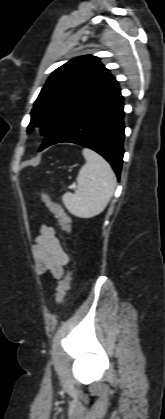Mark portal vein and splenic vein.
<instances>
[{
    "mask_svg": "<svg viewBox=\"0 0 165 419\" xmlns=\"http://www.w3.org/2000/svg\"><path fill=\"white\" fill-rule=\"evenodd\" d=\"M75 187H76V186H75V184H72V185H71V188H75Z\"/></svg>",
    "mask_w": 165,
    "mask_h": 419,
    "instance_id": "18ae733b",
    "label": "portal vein and splenic vein"
}]
</instances>
